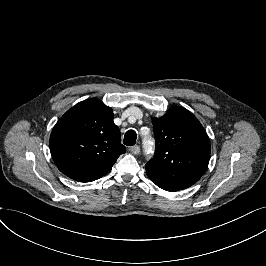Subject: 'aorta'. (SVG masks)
<instances>
[{"mask_svg":"<svg viewBox=\"0 0 266 266\" xmlns=\"http://www.w3.org/2000/svg\"><path fill=\"white\" fill-rule=\"evenodd\" d=\"M144 156L146 157V159H151L153 156V153L151 151H145Z\"/></svg>","mask_w":266,"mask_h":266,"instance_id":"aorta-1","label":"aorta"}]
</instances>
